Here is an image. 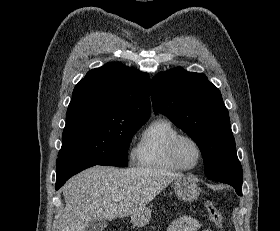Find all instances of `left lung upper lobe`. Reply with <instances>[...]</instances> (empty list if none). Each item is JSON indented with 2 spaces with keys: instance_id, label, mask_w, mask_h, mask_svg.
Masks as SVG:
<instances>
[{
  "instance_id": "5c2ea615",
  "label": "left lung upper lobe",
  "mask_w": 280,
  "mask_h": 231,
  "mask_svg": "<svg viewBox=\"0 0 280 231\" xmlns=\"http://www.w3.org/2000/svg\"><path fill=\"white\" fill-rule=\"evenodd\" d=\"M151 84L155 111L165 114L195 141L206 176L238 161L228 110L219 89L204 74L177 67L158 73Z\"/></svg>"
}]
</instances>
